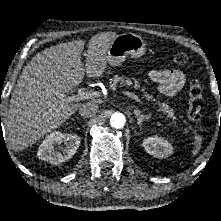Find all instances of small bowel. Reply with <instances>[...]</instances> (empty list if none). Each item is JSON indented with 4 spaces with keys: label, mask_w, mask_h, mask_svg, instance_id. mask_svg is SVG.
<instances>
[{
    "label": "small bowel",
    "mask_w": 221,
    "mask_h": 221,
    "mask_svg": "<svg viewBox=\"0 0 221 221\" xmlns=\"http://www.w3.org/2000/svg\"><path fill=\"white\" fill-rule=\"evenodd\" d=\"M148 77L157 83L159 93L168 97L179 93L186 82L183 72L174 69L151 70L148 73Z\"/></svg>",
    "instance_id": "c3829d8e"
}]
</instances>
